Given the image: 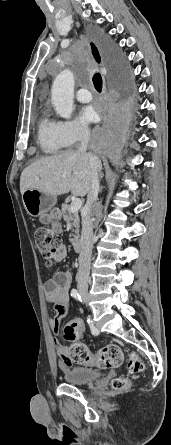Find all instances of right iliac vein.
<instances>
[{
	"label": "right iliac vein",
	"instance_id": "63e3f726",
	"mask_svg": "<svg viewBox=\"0 0 171 445\" xmlns=\"http://www.w3.org/2000/svg\"><path fill=\"white\" fill-rule=\"evenodd\" d=\"M81 296H82V298H83L85 303L89 302V296H88V294L86 292L82 291L81 292Z\"/></svg>",
	"mask_w": 171,
	"mask_h": 445
}]
</instances>
